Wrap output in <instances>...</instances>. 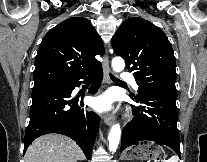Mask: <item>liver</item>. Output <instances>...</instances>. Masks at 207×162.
I'll use <instances>...</instances> for the list:
<instances>
[{"label": "liver", "mask_w": 207, "mask_h": 162, "mask_svg": "<svg viewBox=\"0 0 207 162\" xmlns=\"http://www.w3.org/2000/svg\"><path fill=\"white\" fill-rule=\"evenodd\" d=\"M83 159L82 150L72 139L53 133L35 139L24 156L25 162H77Z\"/></svg>", "instance_id": "6515ba94"}]
</instances>
